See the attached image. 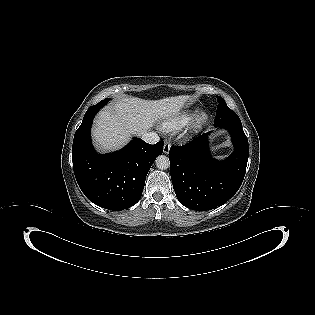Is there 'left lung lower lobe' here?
<instances>
[{
  "label": "left lung lower lobe",
  "instance_id": "0a47b994",
  "mask_svg": "<svg viewBox=\"0 0 315 315\" xmlns=\"http://www.w3.org/2000/svg\"><path fill=\"white\" fill-rule=\"evenodd\" d=\"M235 146L225 161L211 157L208 134L184 146H172L169 152L170 174L179 202L190 209L208 210L228 201L239 189L248 161V139L242 124H227Z\"/></svg>",
  "mask_w": 315,
  "mask_h": 315
}]
</instances>
